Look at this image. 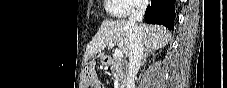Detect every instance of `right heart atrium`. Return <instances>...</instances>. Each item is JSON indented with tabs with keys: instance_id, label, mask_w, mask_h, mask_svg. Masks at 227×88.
<instances>
[{
	"instance_id": "right-heart-atrium-1",
	"label": "right heart atrium",
	"mask_w": 227,
	"mask_h": 88,
	"mask_svg": "<svg viewBox=\"0 0 227 88\" xmlns=\"http://www.w3.org/2000/svg\"><path fill=\"white\" fill-rule=\"evenodd\" d=\"M124 1L127 6L126 16L135 14L137 11L142 9L146 4V0H124Z\"/></svg>"
}]
</instances>
